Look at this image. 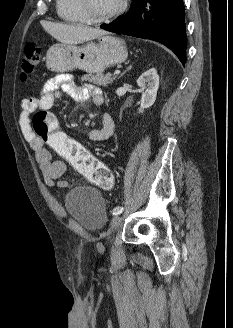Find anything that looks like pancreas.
Listing matches in <instances>:
<instances>
[{
	"label": "pancreas",
	"instance_id": "cf45deb5",
	"mask_svg": "<svg viewBox=\"0 0 233 328\" xmlns=\"http://www.w3.org/2000/svg\"><path fill=\"white\" fill-rule=\"evenodd\" d=\"M115 76H112L110 73L102 74V73H89L82 76V81H88L90 83L107 87L109 84H111L115 80Z\"/></svg>",
	"mask_w": 233,
	"mask_h": 328
}]
</instances>
